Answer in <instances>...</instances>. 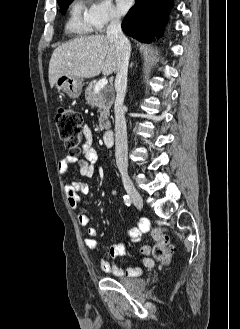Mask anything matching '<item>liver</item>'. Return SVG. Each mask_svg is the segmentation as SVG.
I'll return each instance as SVG.
<instances>
[{"label":"liver","instance_id":"obj_1","mask_svg":"<svg viewBox=\"0 0 240 329\" xmlns=\"http://www.w3.org/2000/svg\"><path fill=\"white\" fill-rule=\"evenodd\" d=\"M117 50L114 40L106 35L75 38L58 46L49 62V83L53 87L61 75L92 78L101 72L117 71Z\"/></svg>","mask_w":240,"mask_h":329}]
</instances>
